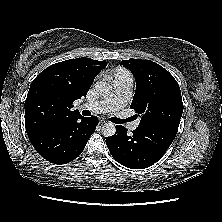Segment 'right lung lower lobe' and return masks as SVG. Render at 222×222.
I'll return each mask as SVG.
<instances>
[{
    "label": "right lung lower lobe",
    "mask_w": 222,
    "mask_h": 222,
    "mask_svg": "<svg viewBox=\"0 0 222 222\" xmlns=\"http://www.w3.org/2000/svg\"><path fill=\"white\" fill-rule=\"evenodd\" d=\"M97 125L96 117L81 116L53 123L28 137L44 159L54 164H66L82 153Z\"/></svg>",
    "instance_id": "1"
}]
</instances>
